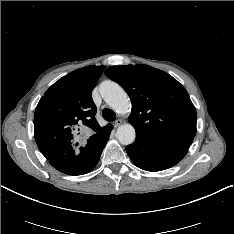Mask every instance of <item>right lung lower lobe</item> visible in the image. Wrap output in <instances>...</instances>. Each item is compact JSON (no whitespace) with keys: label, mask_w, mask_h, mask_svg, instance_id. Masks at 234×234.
Instances as JSON below:
<instances>
[{"label":"right lung lower lobe","mask_w":234,"mask_h":234,"mask_svg":"<svg viewBox=\"0 0 234 234\" xmlns=\"http://www.w3.org/2000/svg\"><path fill=\"white\" fill-rule=\"evenodd\" d=\"M112 130V125L97 133L87 146L74 158L68 160H52L50 164L65 174L82 175L91 171L100 159Z\"/></svg>","instance_id":"98d812e1"}]
</instances>
